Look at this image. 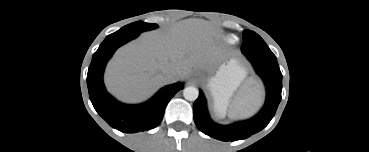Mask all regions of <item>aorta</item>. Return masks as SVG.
Masks as SVG:
<instances>
[{"label": "aorta", "mask_w": 369, "mask_h": 152, "mask_svg": "<svg viewBox=\"0 0 369 152\" xmlns=\"http://www.w3.org/2000/svg\"><path fill=\"white\" fill-rule=\"evenodd\" d=\"M183 96L188 101H195L199 96V91L196 87L189 86L183 90Z\"/></svg>", "instance_id": "1"}]
</instances>
